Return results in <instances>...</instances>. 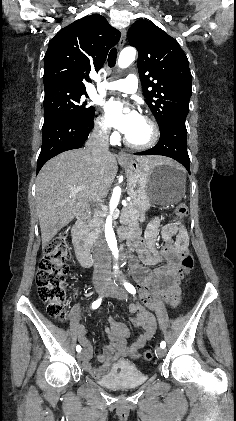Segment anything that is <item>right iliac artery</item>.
Returning a JSON list of instances; mask_svg holds the SVG:
<instances>
[{"mask_svg":"<svg viewBox=\"0 0 236 421\" xmlns=\"http://www.w3.org/2000/svg\"><path fill=\"white\" fill-rule=\"evenodd\" d=\"M101 301H102V298H99L98 300H96V301H94L93 303H92V309H97L99 306H100V304H101ZM81 346L80 345H77L76 346V351L77 352H80L81 351Z\"/></svg>","mask_w":236,"mask_h":421,"instance_id":"1","label":"right iliac artery"}]
</instances>
